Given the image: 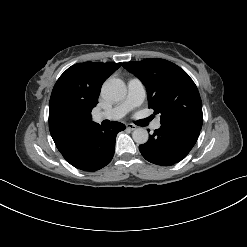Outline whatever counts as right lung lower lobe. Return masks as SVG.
<instances>
[{"label": "right lung lower lobe", "mask_w": 247, "mask_h": 247, "mask_svg": "<svg viewBox=\"0 0 247 247\" xmlns=\"http://www.w3.org/2000/svg\"><path fill=\"white\" fill-rule=\"evenodd\" d=\"M124 129L125 126L119 122H111L105 128L92 123L58 150L72 166L94 172L112 160L116 135Z\"/></svg>", "instance_id": "obj_1"}]
</instances>
